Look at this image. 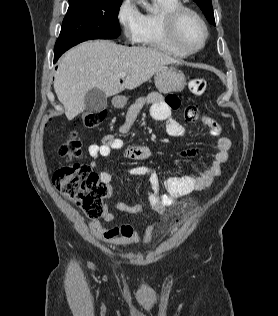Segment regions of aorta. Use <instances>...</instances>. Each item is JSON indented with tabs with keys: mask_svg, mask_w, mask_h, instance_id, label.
<instances>
[{
	"mask_svg": "<svg viewBox=\"0 0 278 316\" xmlns=\"http://www.w3.org/2000/svg\"><path fill=\"white\" fill-rule=\"evenodd\" d=\"M138 2L141 3V4H143L144 8H145L147 11H149V12H151V13L156 12V9L153 8L152 6H150L145 0H138Z\"/></svg>",
	"mask_w": 278,
	"mask_h": 316,
	"instance_id": "1",
	"label": "aorta"
}]
</instances>
